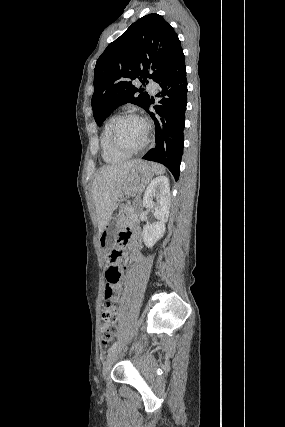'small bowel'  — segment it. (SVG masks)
<instances>
[{"label":"small bowel","mask_w":285,"mask_h":427,"mask_svg":"<svg viewBox=\"0 0 285 427\" xmlns=\"http://www.w3.org/2000/svg\"><path fill=\"white\" fill-rule=\"evenodd\" d=\"M128 237L126 239H124L122 241L123 245H128L130 250L133 253V258L134 259H139L140 258V248H141V239H140V231L138 227H135L132 230L128 229ZM122 293V289L120 285L117 286H113L111 287V295L109 296V298L113 301V302H118L120 300V296ZM108 296L104 295V300L107 299ZM123 307L119 306L118 307V313L120 314L123 311Z\"/></svg>","instance_id":"c3829d8e"}]
</instances>
